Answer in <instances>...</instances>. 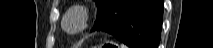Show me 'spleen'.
I'll list each match as a JSON object with an SVG mask.
<instances>
[{
    "label": "spleen",
    "mask_w": 213,
    "mask_h": 48,
    "mask_svg": "<svg viewBox=\"0 0 213 48\" xmlns=\"http://www.w3.org/2000/svg\"><path fill=\"white\" fill-rule=\"evenodd\" d=\"M120 48H127V47H125L124 45H121Z\"/></svg>",
    "instance_id": "3e777b00"
}]
</instances>
